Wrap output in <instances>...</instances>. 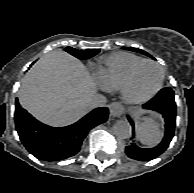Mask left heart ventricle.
Instances as JSON below:
<instances>
[{
	"mask_svg": "<svg viewBox=\"0 0 194 193\" xmlns=\"http://www.w3.org/2000/svg\"><path fill=\"white\" fill-rule=\"evenodd\" d=\"M160 79V70L151 64L142 65L128 88L129 95L140 97L151 93Z\"/></svg>",
	"mask_w": 194,
	"mask_h": 193,
	"instance_id": "left-heart-ventricle-1",
	"label": "left heart ventricle"
}]
</instances>
